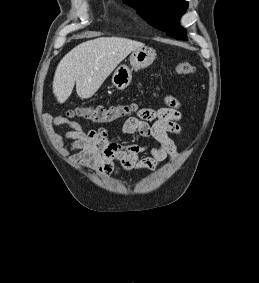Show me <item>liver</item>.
<instances>
[{
	"mask_svg": "<svg viewBox=\"0 0 259 283\" xmlns=\"http://www.w3.org/2000/svg\"><path fill=\"white\" fill-rule=\"evenodd\" d=\"M141 47L143 43L122 37H100L79 44L56 68L53 93L57 101L64 103L75 83L80 98L92 97L118 64Z\"/></svg>",
	"mask_w": 259,
	"mask_h": 283,
	"instance_id": "1",
	"label": "liver"
}]
</instances>
